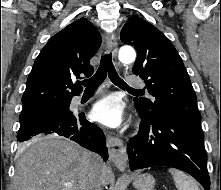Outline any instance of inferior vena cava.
<instances>
[{
    "mask_svg": "<svg viewBox=\"0 0 221 190\" xmlns=\"http://www.w3.org/2000/svg\"><path fill=\"white\" fill-rule=\"evenodd\" d=\"M103 161L102 159L97 156L93 155L90 161L89 167V175L88 181L86 185V190H102V168H103Z\"/></svg>",
    "mask_w": 221,
    "mask_h": 190,
    "instance_id": "inferior-vena-cava-1",
    "label": "inferior vena cava"
}]
</instances>
